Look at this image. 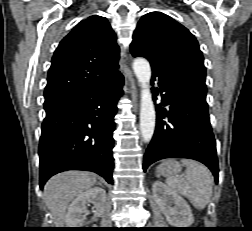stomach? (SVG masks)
Returning <instances> with one entry per match:
<instances>
[{
    "label": "stomach",
    "mask_w": 252,
    "mask_h": 231,
    "mask_svg": "<svg viewBox=\"0 0 252 231\" xmlns=\"http://www.w3.org/2000/svg\"><path fill=\"white\" fill-rule=\"evenodd\" d=\"M182 165L174 159H168L162 162L157 168L158 175L174 176L181 171Z\"/></svg>",
    "instance_id": "1"
}]
</instances>
